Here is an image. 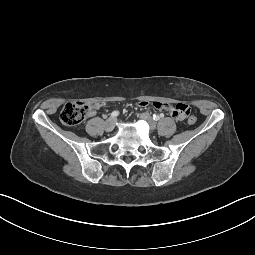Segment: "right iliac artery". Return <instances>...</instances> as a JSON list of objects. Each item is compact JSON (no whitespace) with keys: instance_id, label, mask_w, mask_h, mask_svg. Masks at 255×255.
<instances>
[{"instance_id":"82829eb1","label":"right iliac artery","mask_w":255,"mask_h":255,"mask_svg":"<svg viewBox=\"0 0 255 255\" xmlns=\"http://www.w3.org/2000/svg\"><path fill=\"white\" fill-rule=\"evenodd\" d=\"M119 115V112L118 111H113L112 113H111V117L112 118H115V117H117Z\"/></svg>"}]
</instances>
